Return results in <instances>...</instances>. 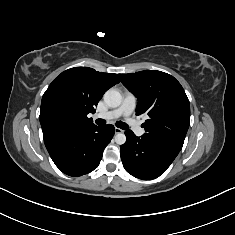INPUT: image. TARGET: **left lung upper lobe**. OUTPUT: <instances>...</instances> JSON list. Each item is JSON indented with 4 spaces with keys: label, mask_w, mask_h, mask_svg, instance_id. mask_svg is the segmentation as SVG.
I'll return each instance as SVG.
<instances>
[{
    "label": "left lung upper lobe",
    "mask_w": 235,
    "mask_h": 235,
    "mask_svg": "<svg viewBox=\"0 0 235 235\" xmlns=\"http://www.w3.org/2000/svg\"><path fill=\"white\" fill-rule=\"evenodd\" d=\"M123 85L137 98L136 115L148 114L144 136L181 149L190 123V104L180 83L156 71L119 74Z\"/></svg>",
    "instance_id": "obj_1"
}]
</instances>
